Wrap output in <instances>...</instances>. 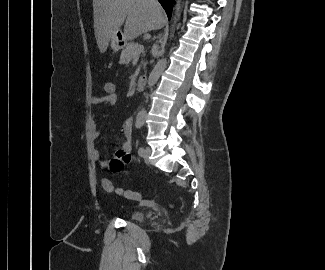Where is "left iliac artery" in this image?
Segmentation results:
<instances>
[{"mask_svg":"<svg viewBox=\"0 0 325 270\" xmlns=\"http://www.w3.org/2000/svg\"><path fill=\"white\" fill-rule=\"evenodd\" d=\"M142 125H143V122L140 121V122H137L136 127L137 128H141ZM143 152H144V148L143 147H140L138 149V154L141 156L143 154Z\"/></svg>","mask_w":325,"mask_h":270,"instance_id":"1","label":"left iliac artery"}]
</instances>
